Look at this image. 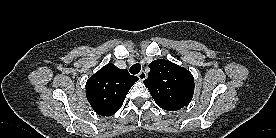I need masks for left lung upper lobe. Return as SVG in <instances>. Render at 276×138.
Wrapping results in <instances>:
<instances>
[{
	"label": "left lung upper lobe",
	"instance_id": "5c2ea615",
	"mask_svg": "<svg viewBox=\"0 0 276 138\" xmlns=\"http://www.w3.org/2000/svg\"><path fill=\"white\" fill-rule=\"evenodd\" d=\"M149 67L151 72L144 84L159 107L175 111L190 103L194 79L187 69L163 59L151 62Z\"/></svg>",
	"mask_w": 276,
	"mask_h": 138
}]
</instances>
